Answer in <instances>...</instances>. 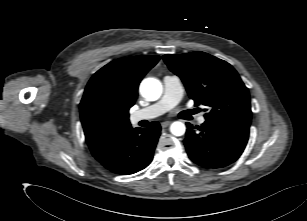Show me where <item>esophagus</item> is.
Segmentation results:
<instances>
[{
	"label": "esophagus",
	"instance_id": "obj_1",
	"mask_svg": "<svg viewBox=\"0 0 307 221\" xmlns=\"http://www.w3.org/2000/svg\"><path fill=\"white\" fill-rule=\"evenodd\" d=\"M170 121H164V122H162L161 123V126H162V128H166L167 126H169L170 125Z\"/></svg>",
	"mask_w": 307,
	"mask_h": 221
}]
</instances>
